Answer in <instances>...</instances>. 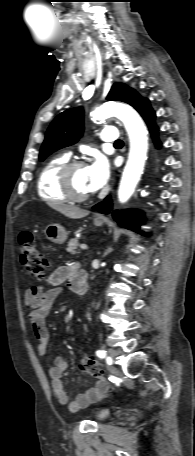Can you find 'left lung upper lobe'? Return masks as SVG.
<instances>
[{
	"label": "left lung upper lobe",
	"instance_id": "obj_1",
	"mask_svg": "<svg viewBox=\"0 0 195 456\" xmlns=\"http://www.w3.org/2000/svg\"><path fill=\"white\" fill-rule=\"evenodd\" d=\"M107 100H117L130 104L135 109L145 100L135 90L122 83H115ZM83 133V110L72 108L59 114L51 123L42 144L39 158L43 161L54 151L72 145Z\"/></svg>",
	"mask_w": 195,
	"mask_h": 456
}]
</instances>
